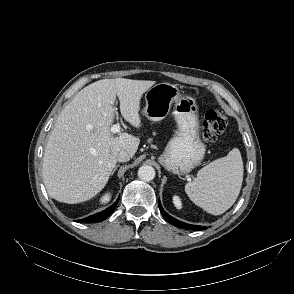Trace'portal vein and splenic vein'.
Masks as SVG:
<instances>
[{"mask_svg": "<svg viewBox=\"0 0 294 294\" xmlns=\"http://www.w3.org/2000/svg\"><path fill=\"white\" fill-rule=\"evenodd\" d=\"M120 129H121L120 124L119 123H116V124H114V125L111 126V129L110 130H111V132L113 134H116V133L120 132Z\"/></svg>", "mask_w": 294, "mask_h": 294, "instance_id": "obj_1", "label": "portal vein and splenic vein"}]
</instances>
